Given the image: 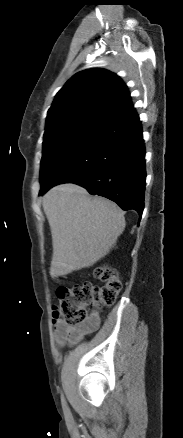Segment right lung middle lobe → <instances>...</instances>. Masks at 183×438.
Segmentation results:
<instances>
[{
  "mask_svg": "<svg viewBox=\"0 0 183 438\" xmlns=\"http://www.w3.org/2000/svg\"><path fill=\"white\" fill-rule=\"evenodd\" d=\"M96 129L94 126L80 125L44 134L40 169L41 189L77 155Z\"/></svg>",
  "mask_w": 183,
  "mask_h": 438,
  "instance_id": "right-lung-middle-lobe-1",
  "label": "right lung middle lobe"
}]
</instances>
